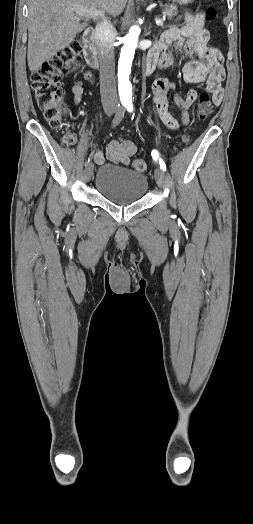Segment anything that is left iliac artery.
I'll return each mask as SVG.
<instances>
[{"instance_id":"1","label":"left iliac artery","mask_w":253,"mask_h":524,"mask_svg":"<svg viewBox=\"0 0 253 524\" xmlns=\"http://www.w3.org/2000/svg\"><path fill=\"white\" fill-rule=\"evenodd\" d=\"M125 107H126V109L129 112L133 111V104H132V102H127L125 104ZM151 154H152V157H153L154 160H159L160 168H162V170L165 171L166 170V165H165L164 161L159 158L158 152L156 150H153Z\"/></svg>"}]
</instances>
